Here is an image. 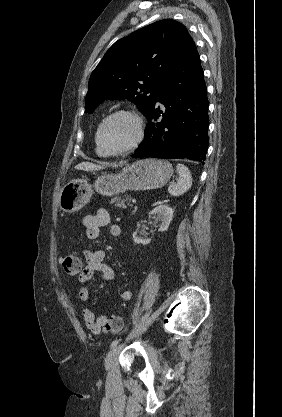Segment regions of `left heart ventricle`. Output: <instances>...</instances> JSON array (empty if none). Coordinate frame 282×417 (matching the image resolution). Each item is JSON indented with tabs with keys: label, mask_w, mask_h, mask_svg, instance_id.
I'll return each mask as SVG.
<instances>
[{
	"label": "left heart ventricle",
	"mask_w": 282,
	"mask_h": 417,
	"mask_svg": "<svg viewBox=\"0 0 282 417\" xmlns=\"http://www.w3.org/2000/svg\"><path fill=\"white\" fill-rule=\"evenodd\" d=\"M134 125L126 118H119L113 121L107 129L105 142L108 147L121 146L134 136Z\"/></svg>",
	"instance_id": "obj_1"
}]
</instances>
